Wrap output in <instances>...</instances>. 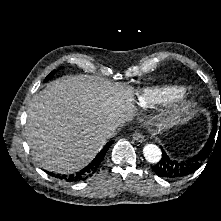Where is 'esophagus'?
<instances>
[{
    "label": "esophagus",
    "instance_id": "1",
    "mask_svg": "<svg viewBox=\"0 0 221 221\" xmlns=\"http://www.w3.org/2000/svg\"><path fill=\"white\" fill-rule=\"evenodd\" d=\"M132 137L135 141L140 142V143L144 142L145 140L144 136L140 132H134L132 134Z\"/></svg>",
    "mask_w": 221,
    "mask_h": 221
}]
</instances>
